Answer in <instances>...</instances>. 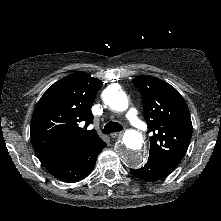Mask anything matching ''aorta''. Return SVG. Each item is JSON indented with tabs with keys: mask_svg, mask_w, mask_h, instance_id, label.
<instances>
[{
	"mask_svg": "<svg viewBox=\"0 0 221 221\" xmlns=\"http://www.w3.org/2000/svg\"><path fill=\"white\" fill-rule=\"evenodd\" d=\"M103 96L105 104L113 110L125 111L129 106L126 94L117 85L109 86L104 91ZM116 153L119 159L128 167L140 168L145 162L143 135L137 130L125 131Z\"/></svg>",
	"mask_w": 221,
	"mask_h": 221,
	"instance_id": "aorta-1",
	"label": "aorta"
}]
</instances>
